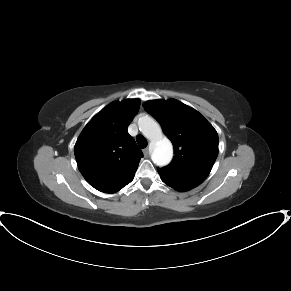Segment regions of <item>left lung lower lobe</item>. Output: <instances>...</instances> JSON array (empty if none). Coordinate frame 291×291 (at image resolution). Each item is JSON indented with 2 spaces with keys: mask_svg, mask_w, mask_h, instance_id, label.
<instances>
[{
  "mask_svg": "<svg viewBox=\"0 0 291 291\" xmlns=\"http://www.w3.org/2000/svg\"><path fill=\"white\" fill-rule=\"evenodd\" d=\"M161 180L169 185L170 187L178 190V191H188L194 187H196L197 185H194V184H184V183H178V182H174V181H170V180H167V179H164L161 177Z\"/></svg>",
  "mask_w": 291,
  "mask_h": 291,
  "instance_id": "0a47b994",
  "label": "left lung lower lobe"
}]
</instances>
